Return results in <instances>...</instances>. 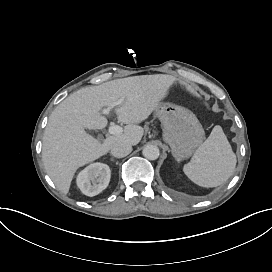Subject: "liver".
<instances>
[{
    "label": "liver",
    "mask_w": 272,
    "mask_h": 272,
    "mask_svg": "<svg viewBox=\"0 0 272 272\" xmlns=\"http://www.w3.org/2000/svg\"><path fill=\"white\" fill-rule=\"evenodd\" d=\"M191 93L189 86L171 75H142L116 79L99 86L82 88L63 100L51 113L43 137L42 158L48 176L65 195L76 171L104 156L111 147L124 142L140 143L146 121L167 98L172 87ZM118 120L123 133L102 142L86 130L103 129L107 120L100 110L118 99Z\"/></svg>",
    "instance_id": "liver-1"
}]
</instances>
